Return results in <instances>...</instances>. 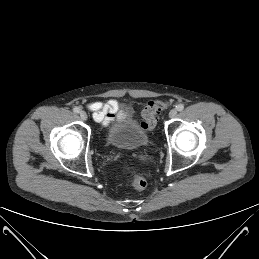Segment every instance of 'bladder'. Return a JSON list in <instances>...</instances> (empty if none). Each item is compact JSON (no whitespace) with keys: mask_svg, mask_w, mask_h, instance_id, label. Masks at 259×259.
<instances>
[{"mask_svg":"<svg viewBox=\"0 0 259 259\" xmlns=\"http://www.w3.org/2000/svg\"><path fill=\"white\" fill-rule=\"evenodd\" d=\"M106 140L115 147L129 150L139 149L149 143L146 130L131 112L125 113L109 126Z\"/></svg>","mask_w":259,"mask_h":259,"instance_id":"bladder-1","label":"bladder"}]
</instances>
